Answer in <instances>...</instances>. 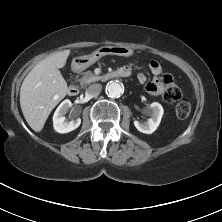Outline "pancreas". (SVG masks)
<instances>
[{"instance_id":"obj_1","label":"pancreas","mask_w":222,"mask_h":222,"mask_svg":"<svg viewBox=\"0 0 222 222\" xmlns=\"http://www.w3.org/2000/svg\"><path fill=\"white\" fill-rule=\"evenodd\" d=\"M100 79V76L95 75L89 70L83 73V76L79 79V82L81 86H87L88 84L99 81Z\"/></svg>"}]
</instances>
